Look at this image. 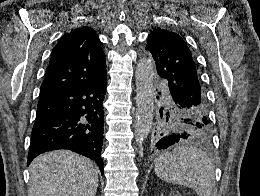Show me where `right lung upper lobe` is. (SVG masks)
Here are the masks:
<instances>
[{
  "label": "right lung upper lobe",
  "mask_w": 260,
  "mask_h": 196,
  "mask_svg": "<svg viewBox=\"0 0 260 196\" xmlns=\"http://www.w3.org/2000/svg\"><path fill=\"white\" fill-rule=\"evenodd\" d=\"M106 76L105 54L97 34L86 26L74 29L54 47L39 99Z\"/></svg>",
  "instance_id": "1"
}]
</instances>
